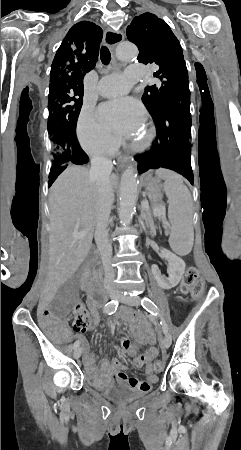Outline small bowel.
<instances>
[{
    "label": "small bowel",
    "instance_id": "c3829d8e",
    "mask_svg": "<svg viewBox=\"0 0 241 450\" xmlns=\"http://www.w3.org/2000/svg\"><path fill=\"white\" fill-rule=\"evenodd\" d=\"M88 289L91 287L89 284L86 286ZM88 301L91 305L92 311L95 310L96 302L88 292ZM39 311L37 312V317L39 319H52L54 317V312L48 309V302L46 300H41L39 302ZM96 318L88 317V319H75L73 323L74 330L79 334L78 341L81 343L85 352V363L87 367V372L97 388H104L110 384L118 383L122 386H128L139 392H149L153 386L158 382V377L155 373L154 366L150 363L151 360L156 358L159 354V349L156 346V337L153 331H151L150 324H137L136 329L129 325V331L131 338H123L121 340V345L124 352L134 354L138 347L146 346L147 349L145 353L139 354L134 358V365L136 367H144L146 378L141 380L135 377L129 376L124 370L125 365L122 363L120 357H115L111 361L108 359H103L101 361V368L97 370L94 364V356L92 353L87 351V342L85 339V334L92 328L96 326ZM42 327L48 329L46 332L49 334L48 338L61 344L64 341L63 336L68 334V329L66 327H52L53 323L49 320L42 322ZM77 328H82L83 331L77 330ZM151 331V332H150ZM55 335H57L55 337Z\"/></svg>",
    "mask_w": 241,
    "mask_h": 450
}]
</instances>
